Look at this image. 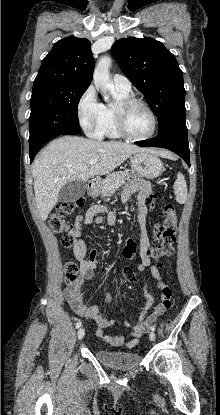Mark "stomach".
<instances>
[{
    "label": "stomach",
    "mask_w": 220,
    "mask_h": 415,
    "mask_svg": "<svg viewBox=\"0 0 220 415\" xmlns=\"http://www.w3.org/2000/svg\"><path fill=\"white\" fill-rule=\"evenodd\" d=\"M132 170L141 177L154 179L160 176L164 170L162 161L150 152H138L130 157ZM101 191V183H94L89 188V194L98 196Z\"/></svg>",
    "instance_id": "0dacf381"
}]
</instances>
